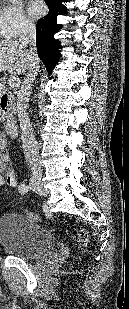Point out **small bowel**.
Returning a JSON list of instances; mask_svg holds the SVG:
<instances>
[{
    "instance_id": "1",
    "label": "small bowel",
    "mask_w": 129,
    "mask_h": 309,
    "mask_svg": "<svg viewBox=\"0 0 129 309\" xmlns=\"http://www.w3.org/2000/svg\"><path fill=\"white\" fill-rule=\"evenodd\" d=\"M5 145V139L0 134V187L17 185V176L14 170L9 166V156L2 151Z\"/></svg>"
}]
</instances>
